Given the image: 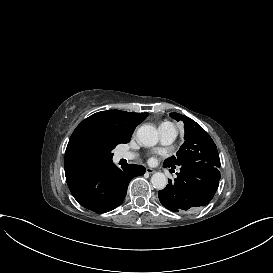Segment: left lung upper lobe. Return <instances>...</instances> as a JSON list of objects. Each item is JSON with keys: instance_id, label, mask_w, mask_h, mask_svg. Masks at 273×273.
I'll return each instance as SVG.
<instances>
[{"instance_id": "1", "label": "left lung upper lobe", "mask_w": 273, "mask_h": 273, "mask_svg": "<svg viewBox=\"0 0 273 273\" xmlns=\"http://www.w3.org/2000/svg\"><path fill=\"white\" fill-rule=\"evenodd\" d=\"M177 121H183L185 126L184 143L175 156L164 161L167 166H181L192 162H205L215 167H220L217 147L203 128L188 118L178 113H170Z\"/></svg>"}]
</instances>
